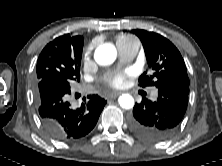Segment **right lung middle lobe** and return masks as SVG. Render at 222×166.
<instances>
[{"mask_svg": "<svg viewBox=\"0 0 222 166\" xmlns=\"http://www.w3.org/2000/svg\"><path fill=\"white\" fill-rule=\"evenodd\" d=\"M71 43L65 47H46L37 60V79L48 76H59L67 82L80 77L79 69L84 39L82 36H71Z\"/></svg>", "mask_w": 222, "mask_h": 166, "instance_id": "dd1d6c3e", "label": "right lung middle lobe"}]
</instances>
